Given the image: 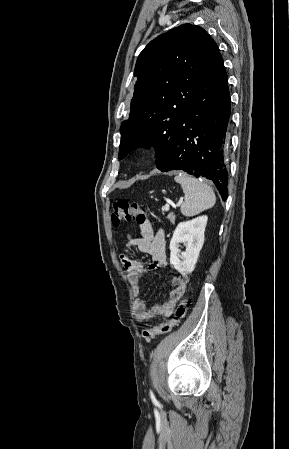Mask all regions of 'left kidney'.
Segmentation results:
<instances>
[{
    "label": "left kidney",
    "instance_id": "5707ae66",
    "mask_svg": "<svg viewBox=\"0 0 289 449\" xmlns=\"http://www.w3.org/2000/svg\"><path fill=\"white\" fill-rule=\"evenodd\" d=\"M208 217L199 216L186 222H180L170 241V264L180 273H191L197 262L199 252L204 244V232ZM186 247L180 252L179 244Z\"/></svg>",
    "mask_w": 289,
    "mask_h": 449
}]
</instances>
